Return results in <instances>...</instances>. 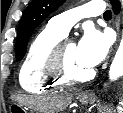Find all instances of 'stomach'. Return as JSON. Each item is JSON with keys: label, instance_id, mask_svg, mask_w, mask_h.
I'll return each instance as SVG.
<instances>
[{"label": "stomach", "instance_id": "obj_1", "mask_svg": "<svg viewBox=\"0 0 123 113\" xmlns=\"http://www.w3.org/2000/svg\"><path fill=\"white\" fill-rule=\"evenodd\" d=\"M77 99L80 101L81 104L87 105L92 98L84 95H78ZM10 111L11 112H18V113H26L25 109L18 103L12 102L10 104Z\"/></svg>", "mask_w": 123, "mask_h": 113}]
</instances>
